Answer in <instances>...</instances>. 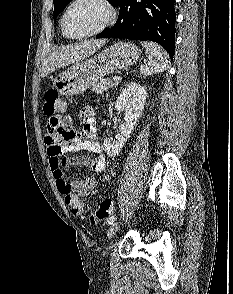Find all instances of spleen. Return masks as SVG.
Listing matches in <instances>:
<instances>
[{"mask_svg":"<svg viewBox=\"0 0 233 294\" xmlns=\"http://www.w3.org/2000/svg\"><path fill=\"white\" fill-rule=\"evenodd\" d=\"M141 45L145 47L148 61L141 65L142 75L149 76L165 71L168 68L169 60L164 49L153 42L143 41Z\"/></svg>","mask_w":233,"mask_h":294,"instance_id":"3e777b00","label":"spleen"}]
</instances>
